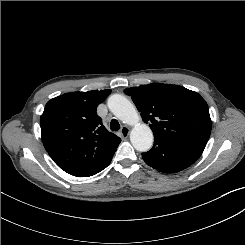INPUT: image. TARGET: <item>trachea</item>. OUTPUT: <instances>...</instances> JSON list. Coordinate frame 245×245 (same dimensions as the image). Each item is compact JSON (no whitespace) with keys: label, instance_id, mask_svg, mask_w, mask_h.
I'll return each instance as SVG.
<instances>
[{"label":"trachea","instance_id":"obj_1","mask_svg":"<svg viewBox=\"0 0 245 245\" xmlns=\"http://www.w3.org/2000/svg\"><path fill=\"white\" fill-rule=\"evenodd\" d=\"M110 129L112 131H118L120 129V124L116 119H112L110 122Z\"/></svg>","mask_w":245,"mask_h":245}]
</instances>
